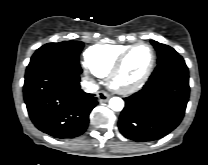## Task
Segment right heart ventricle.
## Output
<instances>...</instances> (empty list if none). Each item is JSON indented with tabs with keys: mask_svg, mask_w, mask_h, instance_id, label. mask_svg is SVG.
Returning <instances> with one entry per match:
<instances>
[{
	"mask_svg": "<svg viewBox=\"0 0 208 165\" xmlns=\"http://www.w3.org/2000/svg\"><path fill=\"white\" fill-rule=\"evenodd\" d=\"M130 45L99 43L90 46L84 52L86 66L97 76H107L118 57Z\"/></svg>",
	"mask_w": 208,
	"mask_h": 165,
	"instance_id": "e07e8e85",
	"label": "right heart ventricle"
}]
</instances>
